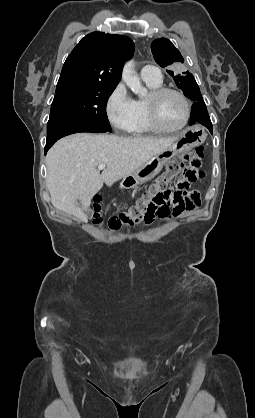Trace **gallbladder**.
Listing matches in <instances>:
<instances>
[{"instance_id": "bac80fb5", "label": "gallbladder", "mask_w": 255, "mask_h": 418, "mask_svg": "<svg viewBox=\"0 0 255 418\" xmlns=\"http://www.w3.org/2000/svg\"><path fill=\"white\" fill-rule=\"evenodd\" d=\"M79 207H82L80 202H78ZM85 214L89 217L91 215V211L89 209L85 210Z\"/></svg>"}]
</instances>
